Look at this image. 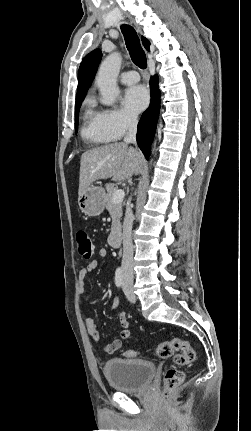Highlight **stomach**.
Returning <instances> with one entry per match:
<instances>
[{
	"mask_svg": "<svg viewBox=\"0 0 251 431\" xmlns=\"http://www.w3.org/2000/svg\"><path fill=\"white\" fill-rule=\"evenodd\" d=\"M78 204L85 215L99 216L105 208V190L97 186L88 187L79 195Z\"/></svg>",
	"mask_w": 251,
	"mask_h": 431,
	"instance_id": "stomach-1",
	"label": "stomach"
}]
</instances>
